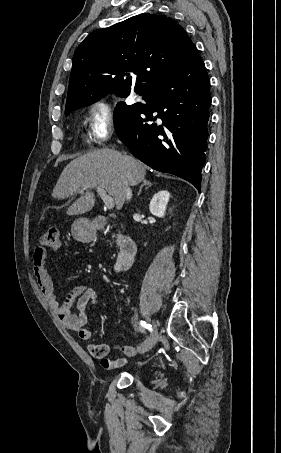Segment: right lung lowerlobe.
<instances>
[{
  "instance_id": "right-lung-lower-lobe-1",
  "label": "right lung lower lobe",
  "mask_w": 281,
  "mask_h": 453,
  "mask_svg": "<svg viewBox=\"0 0 281 453\" xmlns=\"http://www.w3.org/2000/svg\"><path fill=\"white\" fill-rule=\"evenodd\" d=\"M209 87L204 62L198 55L142 94L146 104L128 106L119 102L114 112L117 135L136 158L155 170L191 182L198 191L206 160Z\"/></svg>"
}]
</instances>
